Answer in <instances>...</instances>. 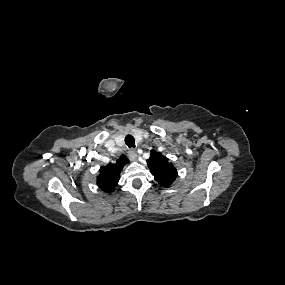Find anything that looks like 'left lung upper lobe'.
<instances>
[{
    "instance_id": "obj_1",
    "label": "left lung upper lobe",
    "mask_w": 285,
    "mask_h": 285,
    "mask_svg": "<svg viewBox=\"0 0 285 285\" xmlns=\"http://www.w3.org/2000/svg\"><path fill=\"white\" fill-rule=\"evenodd\" d=\"M148 164L155 179L164 187H169L177 177V171L174 166L168 162V158L161 156L155 150H151Z\"/></svg>"
}]
</instances>
